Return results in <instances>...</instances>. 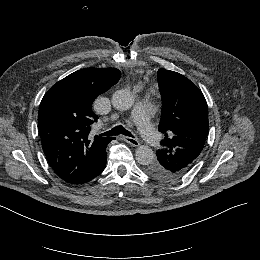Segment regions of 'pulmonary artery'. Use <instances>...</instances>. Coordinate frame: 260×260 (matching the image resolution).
<instances>
[{"label":"pulmonary artery","instance_id":"e3ab8cb5","mask_svg":"<svg viewBox=\"0 0 260 260\" xmlns=\"http://www.w3.org/2000/svg\"><path fill=\"white\" fill-rule=\"evenodd\" d=\"M150 114V105L147 102H140L132 114V121L139 124L141 136L149 143H156L159 140V133L152 126V121L146 118Z\"/></svg>","mask_w":260,"mask_h":260}]
</instances>
